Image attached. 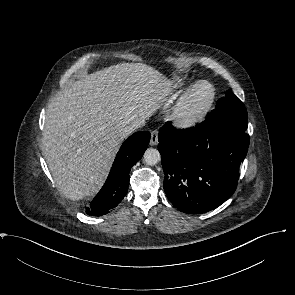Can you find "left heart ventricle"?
<instances>
[{"label": "left heart ventricle", "instance_id": "1", "mask_svg": "<svg viewBox=\"0 0 295 295\" xmlns=\"http://www.w3.org/2000/svg\"><path fill=\"white\" fill-rule=\"evenodd\" d=\"M208 92H209V89L207 87H203L202 88V90L200 92V95L198 97V101H197L196 105H199L200 103H202L204 101V99L208 95Z\"/></svg>", "mask_w": 295, "mask_h": 295}]
</instances>
